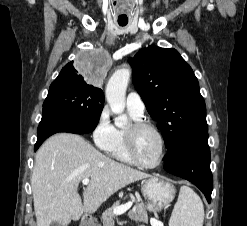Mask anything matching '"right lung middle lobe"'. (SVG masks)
I'll list each match as a JSON object with an SVG mask.
<instances>
[{"label": "right lung middle lobe", "mask_w": 247, "mask_h": 226, "mask_svg": "<svg viewBox=\"0 0 247 226\" xmlns=\"http://www.w3.org/2000/svg\"><path fill=\"white\" fill-rule=\"evenodd\" d=\"M76 70L58 76L51 84L43 103L42 117L62 115L80 122L98 124L104 106V96L94 86L80 82Z\"/></svg>", "instance_id": "right-lung-middle-lobe-1"}]
</instances>
